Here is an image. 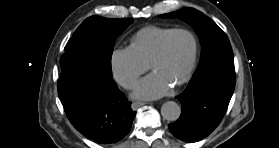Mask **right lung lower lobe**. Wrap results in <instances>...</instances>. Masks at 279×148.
I'll return each instance as SVG.
<instances>
[{
  "instance_id": "right-lung-lower-lobe-1",
  "label": "right lung lower lobe",
  "mask_w": 279,
  "mask_h": 148,
  "mask_svg": "<svg viewBox=\"0 0 279 148\" xmlns=\"http://www.w3.org/2000/svg\"><path fill=\"white\" fill-rule=\"evenodd\" d=\"M58 96L73 126L99 144L116 143L131 129L136 112L88 46L65 47Z\"/></svg>"
}]
</instances>
